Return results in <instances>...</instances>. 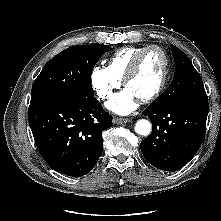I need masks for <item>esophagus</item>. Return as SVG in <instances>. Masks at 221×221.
<instances>
[{
    "label": "esophagus",
    "instance_id": "34e87169",
    "mask_svg": "<svg viewBox=\"0 0 221 221\" xmlns=\"http://www.w3.org/2000/svg\"><path fill=\"white\" fill-rule=\"evenodd\" d=\"M113 122L115 123V124H123V123H127V122H130V119H128V118H121V117H115L114 119H113Z\"/></svg>",
    "mask_w": 221,
    "mask_h": 221
}]
</instances>
